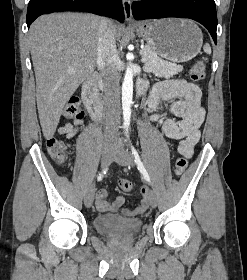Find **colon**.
<instances>
[{
  "instance_id": "1",
  "label": "colon",
  "mask_w": 247,
  "mask_h": 280,
  "mask_svg": "<svg viewBox=\"0 0 247 280\" xmlns=\"http://www.w3.org/2000/svg\"><path fill=\"white\" fill-rule=\"evenodd\" d=\"M206 65L203 61H196L190 71L191 78L194 81H200L205 77ZM65 117L81 119L84 117V113L80 108V103L77 98H72L64 112ZM47 149L49 154L54 158V160L58 163H63L66 159V145L63 141L58 140L56 138H50L47 141ZM187 168V160L185 158H178L174 165V172L176 175H182ZM121 188L129 192L133 189V185L130 181H123L121 183Z\"/></svg>"
}]
</instances>
